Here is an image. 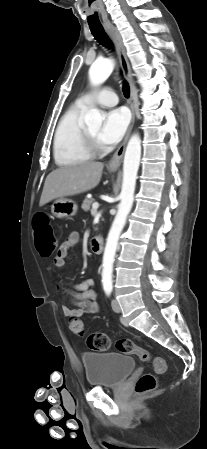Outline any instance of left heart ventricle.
Masks as SVG:
<instances>
[{"mask_svg": "<svg viewBox=\"0 0 207 449\" xmlns=\"http://www.w3.org/2000/svg\"><path fill=\"white\" fill-rule=\"evenodd\" d=\"M86 129L92 137L99 141L100 127H87Z\"/></svg>", "mask_w": 207, "mask_h": 449, "instance_id": "1", "label": "left heart ventricle"}]
</instances>
